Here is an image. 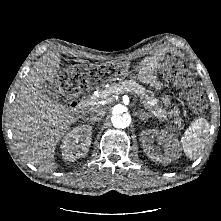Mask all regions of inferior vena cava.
<instances>
[{"instance_id":"1","label":"inferior vena cava","mask_w":221,"mask_h":221,"mask_svg":"<svg viewBox=\"0 0 221 221\" xmlns=\"http://www.w3.org/2000/svg\"><path fill=\"white\" fill-rule=\"evenodd\" d=\"M104 115L105 108L101 105H96L90 111L89 121L91 123L100 122Z\"/></svg>"}]
</instances>
